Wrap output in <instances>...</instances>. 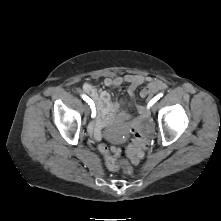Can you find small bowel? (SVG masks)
Wrapping results in <instances>:
<instances>
[{"label":"small bowel","instance_id":"small-bowel-1","mask_svg":"<svg viewBox=\"0 0 221 221\" xmlns=\"http://www.w3.org/2000/svg\"><path fill=\"white\" fill-rule=\"evenodd\" d=\"M103 84L107 88L128 84V93L131 96L134 95L139 86L145 85L140 92L142 98H148L166 88V84L162 80L138 74L107 77ZM81 90L93 101L97 113V120L90 126L91 134L95 139L101 138L102 128L109 124L115 116L120 119L128 118L127 113L122 109V105L114 102L107 90H99L91 83H84ZM138 112L141 117L146 116L147 113L142 106L138 107Z\"/></svg>","mask_w":221,"mask_h":221}]
</instances>
